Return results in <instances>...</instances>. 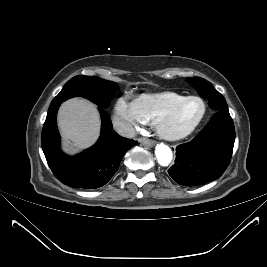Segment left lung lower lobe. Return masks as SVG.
I'll return each instance as SVG.
<instances>
[{
  "label": "left lung lower lobe",
  "mask_w": 267,
  "mask_h": 267,
  "mask_svg": "<svg viewBox=\"0 0 267 267\" xmlns=\"http://www.w3.org/2000/svg\"><path fill=\"white\" fill-rule=\"evenodd\" d=\"M235 141L228 110H217L210 122L186 144L177 146L175 164L168 170L180 185L196 186L219 178L228 167Z\"/></svg>",
  "instance_id": "1"
}]
</instances>
